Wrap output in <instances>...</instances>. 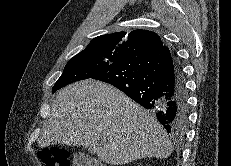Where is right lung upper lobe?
<instances>
[{
	"instance_id": "cb5924a9",
	"label": "right lung upper lobe",
	"mask_w": 231,
	"mask_h": 166,
	"mask_svg": "<svg viewBox=\"0 0 231 166\" xmlns=\"http://www.w3.org/2000/svg\"><path fill=\"white\" fill-rule=\"evenodd\" d=\"M163 46L160 37L148 30L137 29L128 35L124 31L94 38L85 50L117 56L121 60L140 56Z\"/></svg>"
}]
</instances>
